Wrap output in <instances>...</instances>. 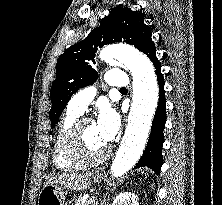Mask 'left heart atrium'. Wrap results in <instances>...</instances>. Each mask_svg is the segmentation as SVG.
I'll return each instance as SVG.
<instances>
[{"label":"left heart atrium","instance_id":"obj_1","mask_svg":"<svg viewBox=\"0 0 222 205\" xmlns=\"http://www.w3.org/2000/svg\"><path fill=\"white\" fill-rule=\"evenodd\" d=\"M95 126L101 139L108 144L114 139L119 130L120 120L118 114L109 107L102 108Z\"/></svg>","mask_w":222,"mask_h":205}]
</instances>
